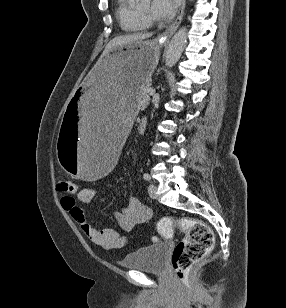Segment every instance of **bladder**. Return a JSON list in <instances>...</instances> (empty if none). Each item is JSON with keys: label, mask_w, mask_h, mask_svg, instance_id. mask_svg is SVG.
<instances>
[{"label": "bladder", "mask_w": 286, "mask_h": 308, "mask_svg": "<svg viewBox=\"0 0 286 308\" xmlns=\"http://www.w3.org/2000/svg\"><path fill=\"white\" fill-rule=\"evenodd\" d=\"M167 249L166 244L137 248L121 260V267L144 272L163 273L166 267Z\"/></svg>", "instance_id": "1"}]
</instances>
